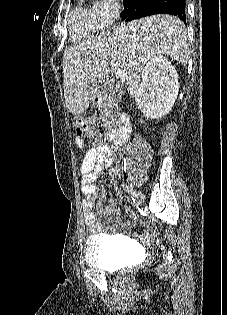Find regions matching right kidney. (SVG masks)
Masks as SVG:
<instances>
[{"mask_svg":"<svg viewBox=\"0 0 227 315\" xmlns=\"http://www.w3.org/2000/svg\"><path fill=\"white\" fill-rule=\"evenodd\" d=\"M135 102L147 118L158 119L173 107L179 91L175 67L163 55L153 57L142 72Z\"/></svg>","mask_w":227,"mask_h":315,"instance_id":"ca27d5eb","label":"right kidney"}]
</instances>
